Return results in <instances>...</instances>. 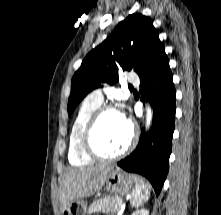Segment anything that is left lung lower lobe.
<instances>
[{"mask_svg":"<svg viewBox=\"0 0 221 215\" xmlns=\"http://www.w3.org/2000/svg\"><path fill=\"white\" fill-rule=\"evenodd\" d=\"M139 77L140 92L148 95L153 107V124L147 133L142 132L137 148L117 165L145 176L158 196L169 169L176 112V91L165 48Z\"/></svg>","mask_w":221,"mask_h":215,"instance_id":"left-lung-lower-lobe-1","label":"left lung lower lobe"}]
</instances>
